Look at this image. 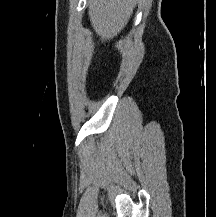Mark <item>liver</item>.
<instances>
[{
  "label": "liver",
  "instance_id": "6515ba94",
  "mask_svg": "<svg viewBox=\"0 0 216 217\" xmlns=\"http://www.w3.org/2000/svg\"><path fill=\"white\" fill-rule=\"evenodd\" d=\"M135 0H90L88 14L102 41L113 39L127 25Z\"/></svg>",
  "mask_w": 216,
  "mask_h": 217
}]
</instances>
